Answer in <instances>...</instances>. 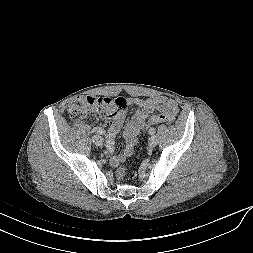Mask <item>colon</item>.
Wrapping results in <instances>:
<instances>
[{"label": "colon", "mask_w": 253, "mask_h": 253, "mask_svg": "<svg viewBox=\"0 0 253 253\" xmlns=\"http://www.w3.org/2000/svg\"><path fill=\"white\" fill-rule=\"evenodd\" d=\"M127 109V102L123 98L112 99L108 97L98 96H82L75 99L69 105V112L73 116H88L94 114H101L105 119L113 121L114 118L122 114ZM175 115H160L152 118L148 125L160 122H173ZM118 179L123 180L126 175V169L119 167L116 171Z\"/></svg>", "instance_id": "1"}]
</instances>
